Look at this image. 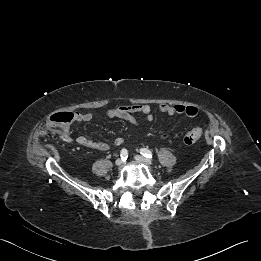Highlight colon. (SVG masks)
Returning <instances> with one entry per match:
<instances>
[{
	"label": "colon",
	"instance_id": "5ec220e1",
	"mask_svg": "<svg viewBox=\"0 0 261 261\" xmlns=\"http://www.w3.org/2000/svg\"><path fill=\"white\" fill-rule=\"evenodd\" d=\"M74 121V114L70 112H56L47 120L46 130L52 133L61 132ZM202 135V128L196 127L187 132L183 138L184 143L190 145L195 143Z\"/></svg>",
	"mask_w": 261,
	"mask_h": 261
}]
</instances>
